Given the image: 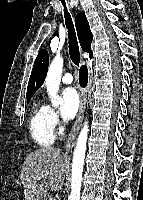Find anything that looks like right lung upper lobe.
Masks as SVG:
<instances>
[{
    "label": "right lung upper lobe",
    "instance_id": "obj_1",
    "mask_svg": "<svg viewBox=\"0 0 143 200\" xmlns=\"http://www.w3.org/2000/svg\"><path fill=\"white\" fill-rule=\"evenodd\" d=\"M75 26L77 30V35L79 38L80 45L82 49L89 53V57L92 56L91 42L93 35L90 31V27L86 16L84 14H78L75 18ZM49 65V56L46 50H41L35 59L31 76L28 83L26 98L31 99L33 94L39 89L43 84L47 69Z\"/></svg>",
    "mask_w": 143,
    "mask_h": 200
}]
</instances>
